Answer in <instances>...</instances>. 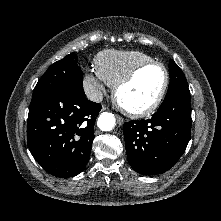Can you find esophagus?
Returning a JSON list of instances; mask_svg holds the SVG:
<instances>
[{"label": "esophagus", "instance_id": "obj_1", "mask_svg": "<svg viewBox=\"0 0 221 221\" xmlns=\"http://www.w3.org/2000/svg\"><path fill=\"white\" fill-rule=\"evenodd\" d=\"M117 122L119 125H122L124 123V120L122 117H120L119 115L117 116Z\"/></svg>", "mask_w": 221, "mask_h": 221}]
</instances>
